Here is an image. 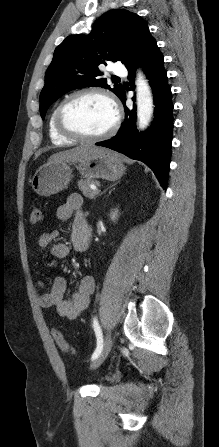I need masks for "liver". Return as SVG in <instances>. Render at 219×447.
<instances>
[{
  "label": "liver",
  "mask_w": 219,
  "mask_h": 447,
  "mask_svg": "<svg viewBox=\"0 0 219 447\" xmlns=\"http://www.w3.org/2000/svg\"><path fill=\"white\" fill-rule=\"evenodd\" d=\"M104 148L91 146V145H81L72 149L60 151L50 156L48 162H69L77 163L81 161L89 160L96 154L100 153Z\"/></svg>",
  "instance_id": "liver-1"
}]
</instances>
